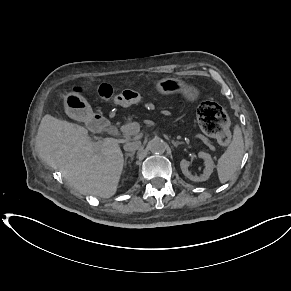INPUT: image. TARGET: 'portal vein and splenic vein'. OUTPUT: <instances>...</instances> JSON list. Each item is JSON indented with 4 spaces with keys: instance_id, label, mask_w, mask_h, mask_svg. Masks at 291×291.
<instances>
[{
    "instance_id": "18ae733b",
    "label": "portal vein and splenic vein",
    "mask_w": 291,
    "mask_h": 291,
    "mask_svg": "<svg viewBox=\"0 0 291 291\" xmlns=\"http://www.w3.org/2000/svg\"><path fill=\"white\" fill-rule=\"evenodd\" d=\"M120 129L126 134H136L140 131V124L138 122H131L123 125Z\"/></svg>"
}]
</instances>
